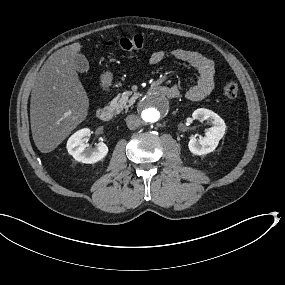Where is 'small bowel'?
I'll list each match as a JSON object with an SVG mask.
<instances>
[{"label":"small bowel","instance_id":"obj_1","mask_svg":"<svg viewBox=\"0 0 285 285\" xmlns=\"http://www.w3.org/2000/svg\"><path fill=\"white\" fill-rule=\"evenodd\" d=\"M169 55L191 66L197 75V81L186 90L185 96L191 101H201L214 89L215 64L212 59L204 54L187 49H175L168 54L162 50L154 51L149 58L152 65L161 63ZM177 96L181 90L177 85L171 86Z\"/></svg>","mask_w":285,"mask_h":285}]
</instances>
